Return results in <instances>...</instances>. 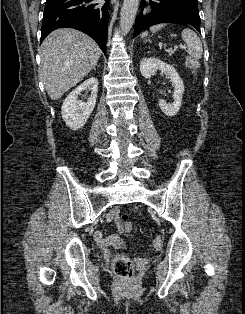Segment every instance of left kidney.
<instances>
[{
  "mask_svg": "<svg viewBox=\"0 0 245 314\" xmlns=\"http://www.w3.org/2000/svg\"><path fill=\"white\" fill-rule=\"evenodd\" d=\"M158 69L170 79L174 88L173 102L166 103L164 100H159V107L162 112L167 116L172 117L180 110L184 93V84L173 66L156 58H144L140 61V71L142 76L146 79H150L155 75Z\"/></svg>",
  "mask_w": 245,
  "mask_h": 314,
  "instance_id": "left-kidney-1",
  "label": "left kidney"
}]
</instances>
